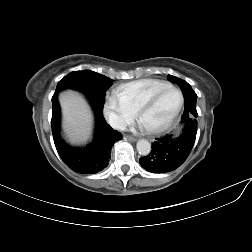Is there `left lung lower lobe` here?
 Returning a JSON list of instances; mask_svg holds the SVG:
<instances>
[{"label":"left lung lower lobe","mask_w":252,"mask_h":252,"mask_svg":"<svg viewBox=\"0 0 252 252\" xmlns=\"http://www.w3.org/2000/svg\"><path fill=\"white\" fill-rule=\"evenodd\" d=\"M185 110L182 115V133L157 138L149 155L140 158L141 166L152 173H166L182 165L189 156L197 134V95L191 87L182 86Z\"/></svg>","instance_id":"1"}]
</instances>
